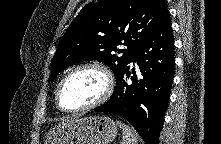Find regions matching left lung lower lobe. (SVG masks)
Here are the masks:
<instances>
[{"label":"left lung lower lobe","instance_id":"left-lung-lower-lobe-1","mask_svg":"<svg viewBox=\"0 0 221 144\" xmlns=\"http://www.w3.org/2000/svg\"><path fill=\"white\" fill-rule=\"evenodd\" d=\"M174 40L168 12L153 34L133 53L116 78L113 95L94 111L112 112L124 117L146 144H158L167 110L174 73ZM135 61L139 72L131 74Z\"/></svg>","mask_w":221,"mask_h":144}]
</instances>
